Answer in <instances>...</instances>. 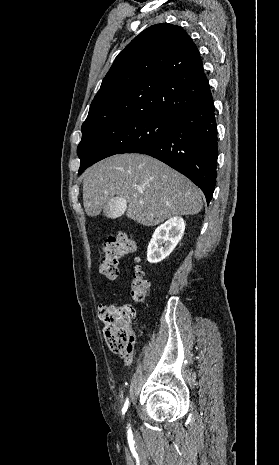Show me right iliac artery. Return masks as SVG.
<instances>
[{
	"mask_svg": "<svg viewBox=\"0 0 279 465\" xmlns=\"http://www.w3.org/2000/svg\"><path fill=\"white\" fill-rule=\"evenodd\" d=\"M128 406H129V401H128V399H127L126 402H125V404H124V407H123V409H122V412H123V413L126 412Z\"/></svg>",
	"mask_w": 279,
	"mask_h": 465,
	"instance_id": "82829eb1",
	"label": "right iliac artery"
}]
</instances>
